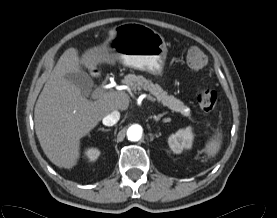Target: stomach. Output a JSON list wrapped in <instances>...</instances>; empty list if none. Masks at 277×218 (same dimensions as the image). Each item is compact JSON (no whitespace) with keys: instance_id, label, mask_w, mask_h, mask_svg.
<instances>
[{"instance_id":"0dacf381","label":"stomach","mask_w":277,"mask_h":218,"mask_svg":"<svg viewBox=\"0 0 277 218\" xmlns=\"http://www.w3.org/2000/svg\"><path fill=\"white\" fill-rule=\"evenodd\" d=\"M103 48L109 52L108 61L118 60L125 66L145 70L155 76L162 75L168 51L161 34L137 22L115 27L114 35L93 50ZM89 52L84 54L83 61L88 60Z\"/></svg>"}]
</instances>
